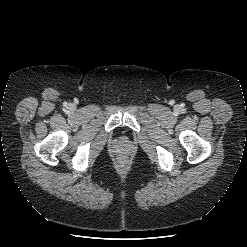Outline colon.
I'll list each match as a JSON object with an SVG mask.
<instances>
[{
    "mask_svg": "<svg viewBox=\"0 0 247 247\" xmlns=\"http://www.w3.org/2000/svg\"><path fill=\"white\" fill-rule=\"evenodd\" d=\"M120 164H121V166H126L127 161H126V160H121V161H120Z\"/></svg>",
    "mask_w": 247,
    "mask_h": 247,
    "instance_id": "obj_1",
    "label": "colon"
}]
</instances>
